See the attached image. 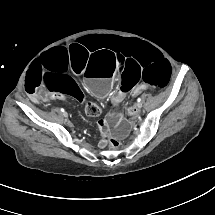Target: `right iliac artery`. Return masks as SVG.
Masks as SVG:
<instances>
[{"label":"right iliac artery","mask_w":215,"mask_h":215,"mask_svg":"<svg viewBox=\"0 0 215 215\" xmlns=\"http://www.w3.org/2000/svg\"><path fill=\"white\" fill-rule=\"evenodd\" d=\"M61 111H62V112H65L63 108H61Z\"/></svg>","instance_id":"82829eb1"}]
</instances>
